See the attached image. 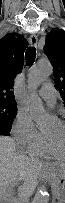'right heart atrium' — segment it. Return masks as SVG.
<instances>
[{"label":"right heart atrium","instance_id":"d8ad5b80","mask_svg":"<svg viewBox=\"0 0 65 203\" xmlns=\"http://www.w3.org/2000/svg\"><path fill=\"white\" fill-rule=\"evenodd\" d=\"M11 133L17 149L25 153H29L36 148L44 139L36 128L31 116L25 112L17 114Z\"/></svg>","mask_w":65,"mask_h":203}]
</instances>
